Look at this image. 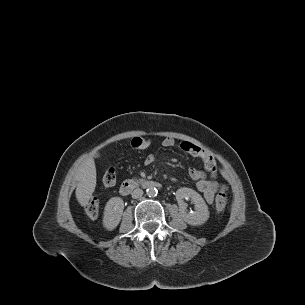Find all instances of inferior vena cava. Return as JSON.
I'll list each match as a JSON object with an SVG mask.
<instances>
[{
  "instance_id": "obj_1",
  "label": "inferior vena cava",
  "mask_w": 305,
  "mask_h": 305,
  "mask_svg": "<svg viewBox=\"0 0 305 305\" xmlns=\"http://www.w3.org/2000/svg\"><path fill=\"white\" fill-rule=\"evenodd\" d=\"M131 195H132V198H134V199L140 198L143 195V190L140 188H137L132 192Z\"/></svg>"
}]
</instances>
